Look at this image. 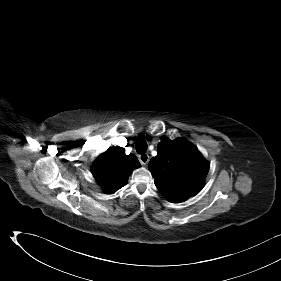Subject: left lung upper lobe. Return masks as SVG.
Wrapping results in <instances>:
<instances>
[{"mask_svg":"<svg viewBox=\"0 0 281 281\" xmlns=\"http://www.w3.org/2000/svg\"><path fill=\"white\" fill-rule=\"evenodd\" d=\"M155 185L170 202L180 203L197 194L209 171L198 149L183 139H162L148 165Z\"/></svg>","mask_w":281,"mask_h":281,"instance_id":"1","label":"left lung upper lobe"}]
</instances>
